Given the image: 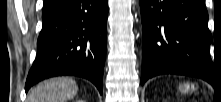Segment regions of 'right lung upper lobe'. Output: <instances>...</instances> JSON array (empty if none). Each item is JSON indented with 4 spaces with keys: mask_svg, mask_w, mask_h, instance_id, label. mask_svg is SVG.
<instances>
[{
    "mask_svg": "<svg viewBox=\"0 0 221 102\" xmlns=\"http://www.w3.org/2000/svg\"><path fill=\"white\" fill-rule=\"evenodd\" d=\"M59 0H45L44 5H43V11L48 10L51 8L53 5H55Z\"/></svg>",
    "mask_w": 221,
    "mask_h": 102,
    "instance_id": "obj_1",
    "label": "right lung upper lobe"
}]
</instances>
